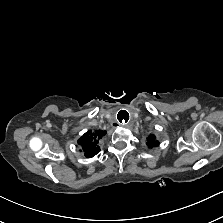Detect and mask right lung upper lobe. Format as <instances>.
Instances as JSON below:
<instances>
[{
  "instance_id": "1",
  "label": "right lung upper lobe",
  "mask_w": 223,
  "mask_h": 223,
  "mask_svg": "<svg viewBox=\"0 0 223 223\" xmlns=\"http://www.w3.org/2000/svg\"><path fill=\"white\" fill-rule=\"evenodd\" d=\"M106 134V131H88L79 140L78 144L82 148L84 155L91 158L100 151L99 140Z\"/></svg>"
}]
</instances>
